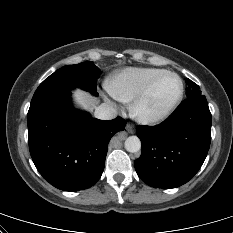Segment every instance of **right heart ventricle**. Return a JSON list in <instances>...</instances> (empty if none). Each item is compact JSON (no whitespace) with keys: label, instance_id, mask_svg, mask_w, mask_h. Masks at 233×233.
<instances>
[{"label":"right heart ventricle","instance_id":"obj_1","mask_svg":"<svg viewBox=\"0 0 233 233\" xmlns=\"http://www.w3.org/2000/svg\"><path fill=\"white\" fill-rule=\"evenodd\" d=\"M159 68L130 67L115 74L106 81L108 93L116 100L129 103L157 74Z\"/></svg>","mask_w":233,"mask_h":233}]
</instances>
